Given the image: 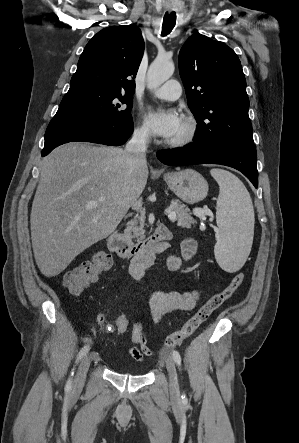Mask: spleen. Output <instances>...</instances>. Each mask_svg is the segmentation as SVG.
I'll return each mask as SVG.
<instances>
[{"instance_id": "1", "label": "spleen", "mask_w": 299, "mask_h": 443, "mask_svg": "<svg viewBox=\"0 0 299 443\" xmlns=\"http://www.w3.org/2000/svg\"><path fill=\"white\" fill-rule=\"evenodd\" d=\"M219 185L216 221L220 234L214 253L219 266L227 272L238 271L250 253L254 232V209L244 184L232 173L212 169Z\"/></svg>"}]
</instances>
